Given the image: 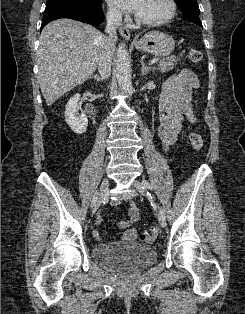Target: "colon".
<instances>
[{"label": "colon", "instance_id": "colon-1", "mask_svg": "<svg viewBox=\"0 0 245 314\" xmlns=\"http://www.w3.org/2000/svg\"><path fill=\"white\" fill-rule=\"evenodd\" d=\"M188 58L191 62L197 63L202 59V53L198 49H191L188 53ZM189 142L195 151H199L203 146V140L200 134L191 132L189 134ZM158 230L153 227L149 231L143 232L139 236V240L144 243H151L155 240Z\"/></svg>", "mask_w": 245, "mask_h": 314}]
</instances>
